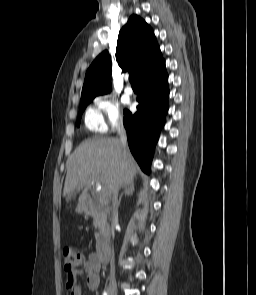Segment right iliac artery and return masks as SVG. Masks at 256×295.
Listing matches in <instances>:
<instances>
[{"mask_svg": "<svg viewBox=\"0 0 256 295\" xmlns=\"http://www.w3.org/2000/svg\"><path fill=\"white\" fill-rule=\"evenodd\" d=\"M103 295H108L106 291L103 292Z\"/></svg>", "mask_w": 256, "mask_h": 295, "instance_id": "obj_1", "label": "right iliac artery"}]
</instances>
